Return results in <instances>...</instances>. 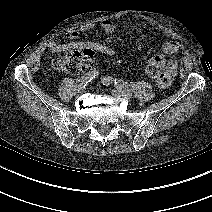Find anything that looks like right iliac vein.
I'll use <instances>...</instances> for the list:
<instances>
[{
    "mask_svg": "<svg viewBox=\"0 0 212 212\" xmlns=\"http://www.w3.org/2000/svg\"><path fill=\"white\" fill-rule=\"evenodd\" d=\"M77 91V94H82L83 92H84V89L83 88H81V89H78V90H76Z\"/></svg>",
    "mask_w": 212,
    "mask_h": 212,
    "instance_id": "63e3f726",
    "label": "right iliac vein"
}]
</instances>
